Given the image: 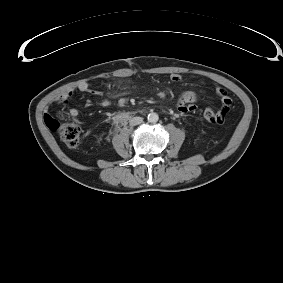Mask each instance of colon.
Here are the masks:
<instances>
[{
	"label": "colon",
	"mask_w": 283,
	"mask_h": 283,
	"mask_svg": "<svg viewBox=\"0 0 283 283\" xmlns=\"http://www.w3.org/2000/svg\"><path fill=\"white\" fill-rule=\"evenodd\" d=\"M229 110L230 103L227 101L226 106L220 110H215L211 107L205 108L203 117L209 123L220 124L224 122ZM44 122L50 130L58 133L60 139L67 146L75 147L79 144L80 127L74 123L66 122L61 114L58 115V118L47 114L44 116Z\"/></svg>",
	"instance_id": "1"
}]
</instances>
